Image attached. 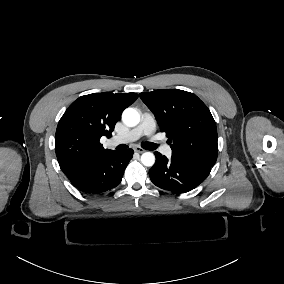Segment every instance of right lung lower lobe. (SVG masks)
<instances>
[{
    "label": "right lung lower lobe",
    "mask_w": 284,
    "mask_h": 284,
    "mask_svg": "<svg viewBox=\"0 0 284 284\" xmlns=\"http://www.w3.org/2000/svg\"><path fill=\"white\" fill-rule=\"evenodd\" d=\"M132 155V149L125 151L114 150L70 181L83 193L91 195L104 193L120 184L124 170Z\"/></svg>",
    "instance_id": "right-lung-lower-lobe-1"
}]
</instances>
